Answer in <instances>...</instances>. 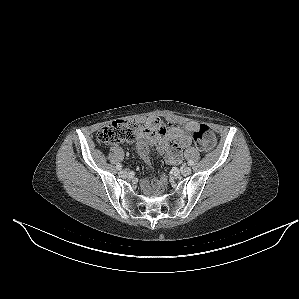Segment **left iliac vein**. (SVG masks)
Here are the masks:
<instances>
[{"instance_id":"1","label":"left iliac vein","mask_w":299,"mask_h":299,"mask_svg":"<svg viewBox=\"0 0 299 299\" xmlns=\"http://www.w3.org/2000/svg\"><path fill=\"white\" fill-rule=\"evenodd\" d=\"M191 171H192L191 168L186 166L183 167L180 172L183 176H188L189 174H191Z\"/></svg>"}]
</instances>
